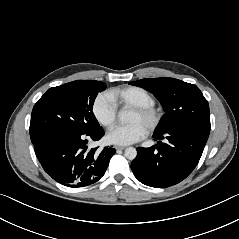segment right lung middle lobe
I'll use <instances>...</instances> for the list:
<instances>
[{
  "instance_id": "obj_1",
  "label": "right lung middle lobe",
  "mask_w": 239,
  "mask_h": 239,
  "mask_svg": "<svg viewBox=\"0 0 239 239\" xmlns=\"http://www.w3.org/2000/svg\"><path fill=\"white\" fill-rule=\"evenodd\" d=\"M106 84L77 80L50 88L35 104L30 122L32 144L52 131L70 130L86 133L100 127L92 108Z\"/></svg>"
}]
</instances>
